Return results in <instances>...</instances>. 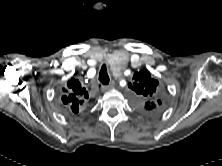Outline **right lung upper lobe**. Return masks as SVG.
I'll list each match as a JSON object with an SVG mask.
<instances>
[{
  "label": "right lung upper lobe",
  "mask_w": 222,
  "mask_h": 166,
  "mask_svg": "<svg viewBox=\"0 0 222 166\" xmlns=\"http://www.w3.org/2000/svg\"><path fill=\"white\" fill-rule=\"evenodd\" d=\"M67 85L70 88L69 102L72 105V109L78 110V103H79L78 95H80L82 91V88H80V83L78 80L72 79L71 81L68 82ZM63 98H66V101H68V98L66 96H64Z\"/></svg>",
  "instance_id": "cb5924a9"
}]
</instances>
